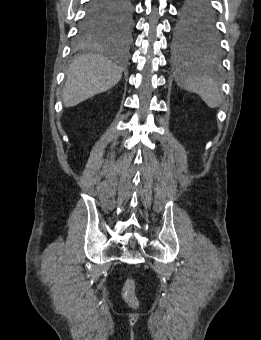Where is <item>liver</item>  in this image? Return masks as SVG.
<instances>
[{
  "label": "liver",
  "mask_w": 261,
  "mask_h": 340,
  "mask_svg": "<svg viewBox=\"0 0 261 340\" xmlns=\"http://www.w3.org/2000/svg\"><path fill=\"white\" fill-rule=\"evenodd\" d=\"M122 69L102 55L77 57L69 67L63 91L65 107H73L115 86Z\"/></svg>",
  "instance_id": "1"
}]
</instances>
